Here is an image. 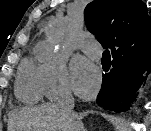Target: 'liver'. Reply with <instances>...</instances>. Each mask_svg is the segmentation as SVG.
<instances>
[{"label":"liver","mask_w":151,"mask_h":131,"mask_svg":"<svg viewBox=\"0 0 151 131\" xmlns=\"http://www.w3.org/2000/svg\"><path fill=\"white\" fill-rule=\"evenodd\" d=\"M83 114L63 111L54 103H45L13 114L8 131H85L80 120Z\"/></svg>","instance_id":"obj_1"}]
</instances>
